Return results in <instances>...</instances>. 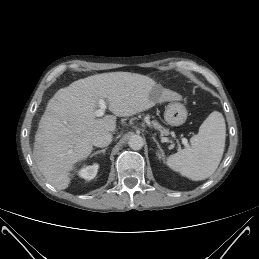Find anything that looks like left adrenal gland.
Masks as SVG:
<instances>
[{
    "mask_svg": "<svg viewBox=\"0 0 259 259\" xmlns=\"http://www.w3.org/2000/svg\"><path fill=\"white\" fill-rule=\"evenodd\" d=\"M153 140H154V142L157 144V147H158V149H159V151H160V153L157 152V156H158L159 158H162V159L164 160V159H165V155H164L163 149L161 148L159 142H158L154 137H153Z\"/></svg>",
    "mask_w": 259,
    "mask_h": 259,
    "instance_id": "a2214340",
    "label": "left adrenal gland"
}]
</instances>
